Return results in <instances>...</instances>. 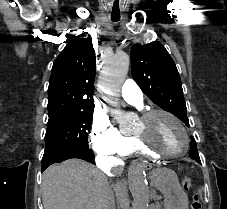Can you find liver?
Here are the masks:
<instances>
[{
    "instance_id": "1",
    "label": "liver",
    "mask_w": 227,
    "mask_h": 209,
    "mask_svg": "<svg viewBox=\"0 0 227 209\" xmlns=\"http://www.w3.org/2000/svg\"><path fill=\"white\" fill-rule=\"evenodd\" d=\"M108 179L91 163L69 159L42 177L44 209H105Z\"/></svg>"
}]
</instances>
